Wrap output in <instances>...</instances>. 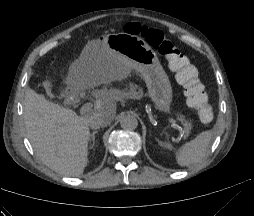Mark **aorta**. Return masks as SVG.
<instances>
[{
    "mask_svg": "<svg viewBox=\"0 0 254 216\" xmlns=\"http://www.w3.org/2000/svg\"><path fill=\"white\" fill-rule=\"evenodd\" d=\"M120 125L124 130H134L138 126L137 118L132 114H125L120 118Z\"/></svg>",
    "mask_w": 254,
    "mask_h": 216,
    "instance_id": "762f6f07",
    "label": "aorta"
}]
</instances>
